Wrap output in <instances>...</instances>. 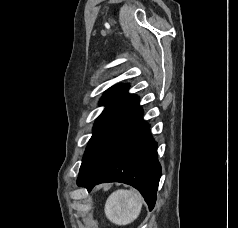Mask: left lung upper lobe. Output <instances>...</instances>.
Returning a JSON list of instances; mask_svg holds the SVG:
<instances>
[{"instance_id":"5c2ea615","label":"left lung upper lobe","mask_w":238,"mask_h":228,"mask_svg":"<svg viewBox=\"0 0 238 228\" xmlns=\"http://www.w3.org/2000/svg\"><path fill=\"white\" fill-rule=\"evenodd\" d=\"M129 86L120 84L109 88L100 100L105 110L96 120L89 140L79 177L90 175L100 164L120 129L139 108V98L128 94Z\"/></svg>"}]
</instances>
